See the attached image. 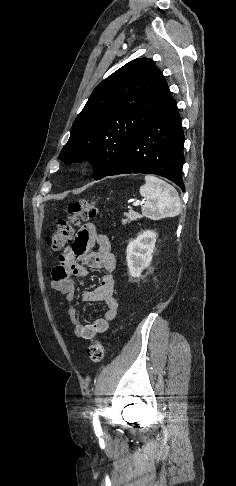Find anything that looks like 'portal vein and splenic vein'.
<instances>
[{"label":"portal vein and splenic vein","instance_id":"1","mask_svg":"<svg viewBox=\"0 0 236 486\" xmlns=\"http://www.w3.org/2000/svg\"><path fill=\"white\" fill-rule=\"evenodd\" d=\"M142 203H143V201H139V200H137V201H135V202L133 203V206H134V207H138V206H139V205H141Z\"/></svg>","mask_w":236,"mask_h":486}]
</instances>
